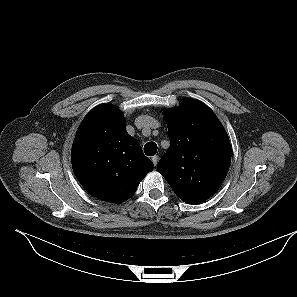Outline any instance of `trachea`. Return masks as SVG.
Here are the masks:
<instances>
[{"instance_id":"obj_1","label":"trachea","mask_w":297,"mask_h":297,"mask_svg":"<svg viewBox=\"0 0 297 297\" xmlns=\"http://www.w3.org/2000/svg\"><path fill=\"white\" fill-rule=\"evenodd\" d=\"M144 152L147 156H154L157 153V144L155 142L146 143Z\"/></svg>"}]
</instances>
